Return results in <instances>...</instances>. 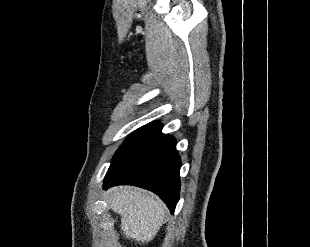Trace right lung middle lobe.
<instances>
[{"label": "right lung middle lobe", "mask_w": 310, "mask_h": 247, "mask_svg": "<svg viewBox=\"0 0 310 247\" xmlns=\"http://www.w3.org/2000/svg\"><path fill=\"white\" fill-rule=\"evenodd\" d=\"M135 134V133H134ZM133 135L129 136L127 138V140L123 143V145L117 150L115 157L117 156V154L127 145V143L132 139Z\"/></svg>", "instance_id": "obj_1"}]
</instances>
